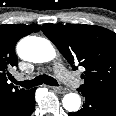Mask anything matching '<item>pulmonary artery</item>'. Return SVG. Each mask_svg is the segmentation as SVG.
I'll list each match as a JSON object with an SVG mask.
<instances>
[{
  "label": "pulmonary artery",
  "instance_id": "1",
  "mask_svg": "<svg viewBox=\"0 0 116 116\" xmlns=\"http://www.w3.org/2000/svg\"><path fill=\"white\" fill-rule=\"evenodd\" d=\"M54 70L57 77L68 86L78 87L80 85V80L74 74L66 70L63 66L57 64L55 65ZM17 79L20 80L22 77L17 76Z\"/></svg>",
  "mask_w": 116,
  "mask_h": 116
}]
</instances>
